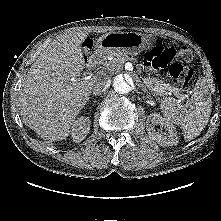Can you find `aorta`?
I'll return each instance as SVG.
<instances>
[{"mask_svg":"<svg viewBox=\"0 0 221 221\" xmlns=\"http://www.w3.org/2000/svg\"><path fill=\"white\" fill-rule=\"evenodd\" d=\"M113 88L118 94H127L131 90V85L123 75H117L113 81Z\"/></svg>","mask_w":221,"mask_h":221,"instance_id":"762f6f07","label":"aorta"}]
</instances>
